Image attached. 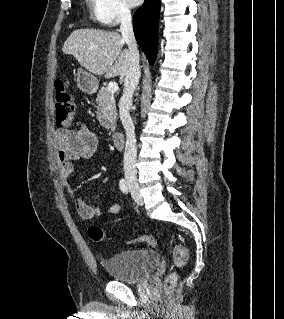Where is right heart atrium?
Returning <instances> with one entry per match:
<instances>
[{
    "label": "right heart atrium",
    "instance_id": "d8ad5b80",
    "mask_svg": "<svg viewBox=\"0 0 284 319\" xmlns=\"http://www.w3.org/2000/svg\"><path fill=\"white\" fill-rule=\"evenodd\" d=\"M95 17L105 26L113 27L131 17L123 0H95Z\"/></svg>",
    "mask_w": 284,
    "mask_h": 319
}]
</instances>
